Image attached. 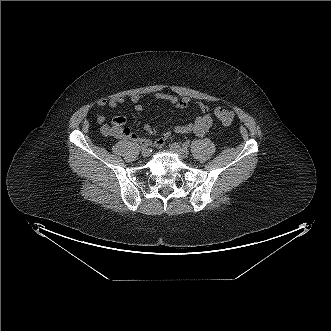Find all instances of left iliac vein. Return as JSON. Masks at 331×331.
Wrapping results in <instances>:
<instances>
[{
	"instance_id": "4c4485c4",
	"label": "left iliac vein",
	"mask_w": 331,
	"mask_h": 331,
	"mask_svg": "<svg viewBox=\"0 0 331 331\" xmlns=\"http://www.w3.org/2000/svg\"><path fill=\"white\" fill-rule=\"evenodd\" d=\"M170 150L180 156L181 158H187L189 152L187 149L181 147L178 143H173L170 145Z\"/></svg>"
}]
</instances>
